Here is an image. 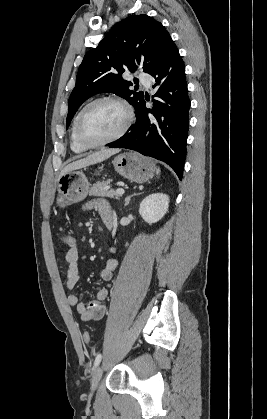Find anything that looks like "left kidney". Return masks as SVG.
Returning <instances> with one entry per match:
<instances>
[{
    "label": "left kidney",
    "mask_w": 267,
    "mask_h": 419,
    "mask_svg": "<svg viewBox=\"0 0 267 419\" xmlns=\"http://www.w3.org/2000/svg\"><path fill=\"white\" fill-rule=\"evenodd\" d=\"M169 196L163 193L151 194L144 198L139 207V214L149 224L158 222L167 213Z\"/></svg>",
    "instance_id": "obj_1"
}]
</instances>
